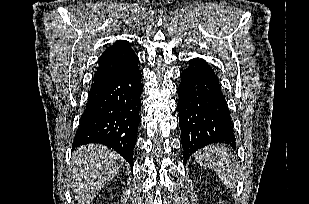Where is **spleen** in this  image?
Returning <instances> with one entry per match:
<instances>
[{
    "label": "spleen",
    "mask_w": 309,
    "mask_h": 204,
    "mask_svg": "<svg viewBox=\"0 0 309 204\" xmlns=\"http://www.w3.org/2000/svg\"><path fill=\"white\" fill-rule=\"evenodd\" d=\"M195 160L205 167L213 169L228 187H234L239 179V166L228 148L211 145L199 150Z\"/></svg>",
    "instance_id": "1"
}]
</instances>
